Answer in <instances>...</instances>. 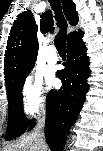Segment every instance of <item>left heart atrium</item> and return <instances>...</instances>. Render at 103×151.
<instances>
[{
	"mask_svg": "<svg viewBox=\"0 0 103 151\" xmlns=\"http://www.w3.org/2000/svg\"><path fill=\"white\" fill-rule=\"evenodd\" d=\"M47 83L49 86H54L57 83V80L53 73L47 75Z\"/></svg>",
	"mask_w": 103,
	"mask_h": 151,
	"instance_id": "39dd6f15",
	"label": "left heart atrium"
}]
</instances>
